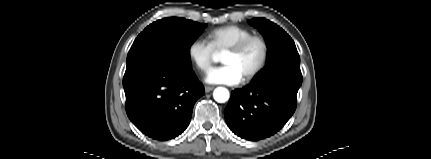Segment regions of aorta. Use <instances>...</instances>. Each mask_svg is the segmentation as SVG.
<instances>
[{"mask_svg":"<svg viewBox=\"0 0 431 159\" xmlns=\"http://www.w3.org/2000/svg\"><path fill=\"white\" fill-rule=\"evenodd\" d=\"M213 97L217 102L224 103L229 99L230 95L226 88L218 87L214 90Z\"/></svg>","mask_w":431,"mask_h":159,"instance_id":"1","label":"aorta"}]
</instances>
